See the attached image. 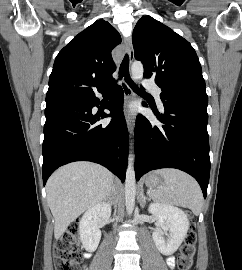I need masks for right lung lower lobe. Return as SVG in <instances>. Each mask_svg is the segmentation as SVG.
<instances>
[{
    "instance_id": "1",
    "label": "right lung lower lobe",
    "mask_w": 242,
    "mask_h": 270,
    "mask_svg": "<svg viewBox=\"0 0 242 270\" xmlns=\"http://www.w3.org/2000/svg\"><path fill=\"white\" fill-rule=\"evenodd\" d=\"M106 91L101 92L104 94ZM123 89L119 86L107 105L110 114H92L99 99L93 95L46 106L43 141V184L60 166L92 161L125 181L128 130L123 114ZM112 117L108 125L99 124Z\"/></svg>"
}]
</instances>
